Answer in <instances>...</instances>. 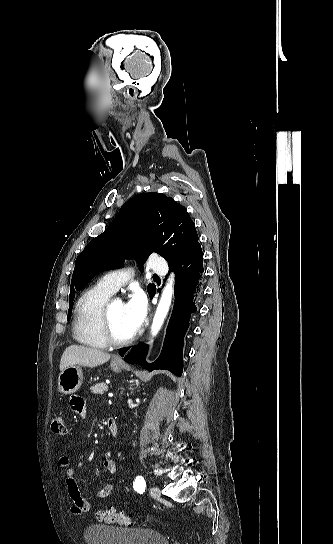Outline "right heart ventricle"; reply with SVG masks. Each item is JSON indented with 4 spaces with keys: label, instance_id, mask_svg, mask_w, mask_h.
I'll use <instances>...</instances> for the list:
<instances>
[{
    "label": "right heart ventricle",
    "instance_id": "obj_1",
    "mask_svg": "<svg viewBox=\"0 0 333 544\" xmlns=\"http://www.w3.org/2000/svg\"><path fill=\"white\" fill-rule=\"evenodd\" d=\"M112 294L100 282L83 292L75 306L73 335L76 341L93 348L107 347L101 328V315Z\"/></svg>",
    "mask_w": 333,
    "mask_h": 544
}]
</instances>
